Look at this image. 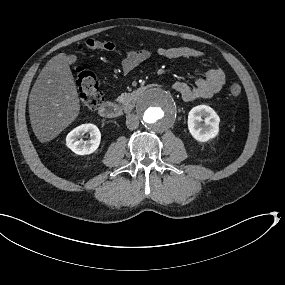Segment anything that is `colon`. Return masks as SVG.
<instances>
[{
    "label": "colon",
    "mask_w": 285,
    "mask_h": 285,
    "mask_svg": "<svg viewBox=\"0 0 285 285\" xmlns=\"http://www.w3.org/2000/svg\"><path fill=\"white\" fill-rule=\"evenodd\" d=\"M79 49L113 51L117 49V45L111 41L88 39L79 47ZM75 73L82 104L89 110L98 109L102 105L104 99L96 75L81 66L76 68ZM229 93L233 97L239 96L241 94V86L237 83L232 84L229 87Z\"/></svg>",
    "instance_id": "obj_1"
}]
</instances>
